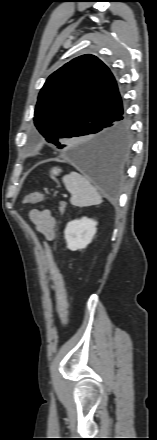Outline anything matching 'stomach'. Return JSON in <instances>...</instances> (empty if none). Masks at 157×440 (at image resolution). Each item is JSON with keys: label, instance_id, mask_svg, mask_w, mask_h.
I'll return each instance as SVG.
<instances>
[{"label": "stomach", "instance_id": "0dacf381", "mask_svg": "<svg viewBox=\"0 0 157 440\" xmlns=\"http://www.w3.org/2000/svg\"><path fill=\"white\" fill-rule=\"evenodd\" d=\"M61 172H62L61 169L56 168V167H53V168L51 169V171H50V176H51L52 179H55L56 176H58Z\"/></svg>", "mask_w": 157, "mask_h": 440}]
</instances>
